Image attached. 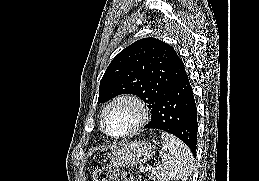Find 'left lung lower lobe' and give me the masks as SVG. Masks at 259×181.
Listing matches in <instances>:
<instances>
[{"instance_id": "left-lung-lower-lobe-1", "label": "left lung lower lobe", "mask_w": 259, "mask_h": 181, "mask_svg": "<svg viewBox=\"0 0 259 181\" xmlns=\"http://www.w3.org/2000/svg\"><path fill=\"white\" fill-rule=\"evenodd\" d=\"M145 128L160 129L175 135L196 156L197 109L184 65L178 79L165 91L154 118Z\"/></svg>"}]
</instances>
